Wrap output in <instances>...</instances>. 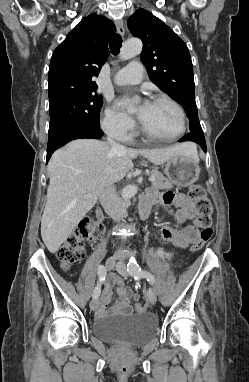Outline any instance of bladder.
<instances>
[{"label": "bladder", "mask_w": 249, "mask_h": 382, "mask_svg": "<svg viewBox=\"0 0 249 382\" xmlns=\"http://www.w3.org/2000/svg\"><path fill=\"white\" fill-rule=\"evenodd\" d=\"M158 332L156 317L148 313L113 315L94 321V335L111 344L137 347L153 339Z\"/></svg>", "instance_id": "1"}]
</instances>
